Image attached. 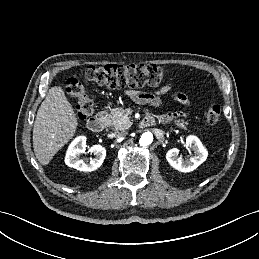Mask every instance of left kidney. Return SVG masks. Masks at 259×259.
I'll return each mask as SVG.
<instances>
[{
	"mask_svg": "<svg viewBox=\"0 0 259 259\" xmlns=\"http://www.w3.org/2000/svg\"><path fill=\"white\" fill-rule=\"evenodd\" d=\"M186 147L193 150L190 159L183 160L179 157V149L172 148L166 153L168 163L180 172H191L201 165L207 158L208 152L198 137L190 135L186 138Z\"/></svg>",
	"mask_w": 259,
	"mask_h": 259,
	"instance_id": "1",
	"label": "left kidney"
}]
</instances>
